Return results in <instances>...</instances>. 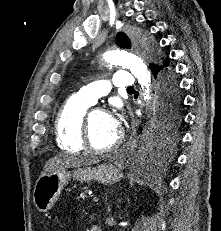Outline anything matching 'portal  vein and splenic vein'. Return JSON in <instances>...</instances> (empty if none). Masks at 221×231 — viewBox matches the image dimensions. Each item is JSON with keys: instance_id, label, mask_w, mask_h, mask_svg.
I'll list each match as a JSON object with an SVG mask.
<instances>
[{"instance_id": "1", "label": "portal vein and splenic vein", "mask_w": 221, "mask_h": 231, "mask_svg": "<svg viewBox=\"0 0 221 231\" xmlns=\"http://www.w3.org/2000/svg\"><path fill=\"white\" fill-rule=\"evenodd\" d=\"M98 200H99V197H98V196H93V201H94V202H98Z\"/></svg>"}]
</instances>
